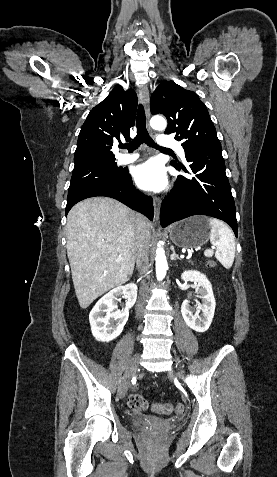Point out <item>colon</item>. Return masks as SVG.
<instances>
[{"mask_svg": "<svg viewBox=\"0 0 277 477\" xmlns=\"http://www.w3.org/2000/svg\"><path fill=\"white\" fill-rule=\"evenodd\" d=\"M204 265L206 268H213L215 262L213 259H206ZM226 295L230 296L231 292L227 291ZM128 405L133 411L141 412L147 408V401L140 394H131L128 399ZM152 410L161 414H171L172 412L179 414L182 413L183 406L181 404L172 405L170 403H157L152 405Z\"/></svg>", "mask_w": 277, "mask_h": 477, "instance_id": "5ec220e1", "label": "colon"}]
</instances>
